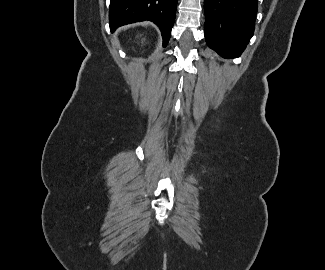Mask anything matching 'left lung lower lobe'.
Listing matches in <instances>:
<instances>
[{
	"label": "left lung lower lobe",
	"mask_w": 325,
	"mask_h": 270,
	"mask_svg": "<svg viewBox=\"0 0 325 270\" xmlns=\"http://www.w3.org/2000/svg\"><path fill=\"white\" fill-rule=\"evenodd\" d=\"M257 0H204L207 44L221 56L239 57L253 36Z\"/></svg>",
	"instance_id": "0a47b994"
}]
</instances>
